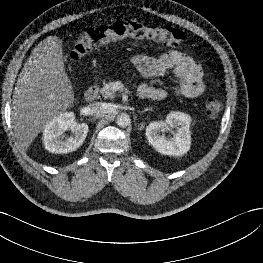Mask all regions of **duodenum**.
<instances>
[{
    "label": "duodenum",
    "instance_id": "obj_1",
    "mask_svg": "<svg viewBox=\"0 0 263 263\" xmlns=\"http://www.w3.org/2000/svg\"><path fill=\"white\" fill-rule=\"evenodd\" d=\"M98 94V86L97 85H92L90 86L85 92H84V99L87 102L93 101ZM138 96L139 97H144L143 93L141 91H138Z\"/></svg>",
    "mask_w": 263,
    "mask_h": 263
}]
</instances>
